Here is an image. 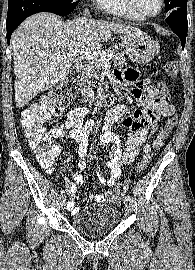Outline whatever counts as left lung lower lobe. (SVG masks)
Returning <instances> with one entry per match:
<instances>
[{
    "label": "left lung lower lobe",
    "mask_w": 195,
    "mask_h": 270,
    "mask_svg": "<svg viewBox=\"0 0 195 270\" xmlns=\"http://www.w3.org/2000/svg\"><path fill=\"white\" fill-rule=\"evenodd\" d=\"M166 22L171 27L172 31L180 38L182 48L184 49L188 30L187 7H177L169 11Z\"/></svg>",
    "instance_id": "obj_1"
}]
</instances>
